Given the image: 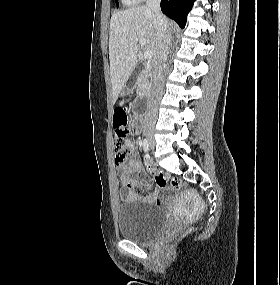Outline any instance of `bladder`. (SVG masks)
Instances as JSON below:
<instances>
[{
	"label": "bladder",
	"mask_w": 280,
	"mask_h": 285,
	"mask_svg": "<svg viewBox=\"0 0 280 285\" xmlns=\"http://www.w3.org/2000/svg\"><path fill=\"white\" fill-rule=\"evenodd\" d=\"M117 221L119 234L137 243L150 241L166 224L161 210L143 200H130L120 204Z\"/></svg>",
	"instance_id": "bladder-1"
}]
</instances>
